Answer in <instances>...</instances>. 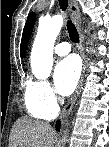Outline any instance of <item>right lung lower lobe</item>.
I'll return each mask as SVG.
<instances>
[{"label": "right lung lower lobe", "mask_w": 109, "mask_h": 147, "mask_svg": "<svg viewBox=\"0 0 109 147\" xmlns=\"http://www.w3.org/2000/svg\"><path fill=\"white\" fill-rule=\"evenodd\" d=\"M56 129L59 131V129H60V123L59 122H57V124H56Z\"/></svg>", "instance_id": "1"}]
</instances>
